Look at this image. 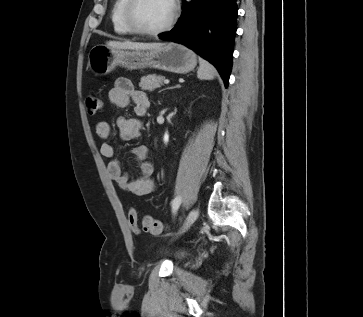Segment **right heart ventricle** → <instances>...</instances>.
Masks as SVG:
<instances>
[{
  "instance_id": "obj_1",
  "label": "right heart ventricle",
  "mask_w": 363,
  "mask_h": 317,
  "mask_svg": "<svg viewBox=\"0 0 363 317\" xmlns=\"http://www.w3.org/2000/svg\"><path fill=\"white\" fill-rule=\"evenodd\" d=\"M127 0H114L111 7V23L115 33L119 35H131L132 32L127 28L123 19V9Z\"/></svg>"
}]
</instances>
